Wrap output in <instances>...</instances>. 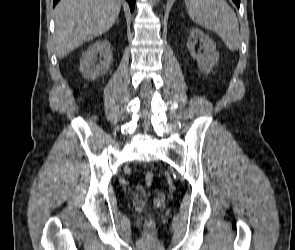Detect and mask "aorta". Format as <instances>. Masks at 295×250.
I'll list each match as a JSON object with an SVG mask.
<instances>
[{
    "mask_svg": "<svg viewBox=\"0 0 295 250\" xmlns=\"http://www.w3.org/2000/svg\"><path fill=\"white\" fill-rule=\"evenodd\" d=\"M159 0H153L154 3L158 2Z\"/></svg>",
    "mask_w": 295,
    "mask_h": 250,
    "instance_id": "762f6f07",
    "label": "aorta"
}]
</instances>
